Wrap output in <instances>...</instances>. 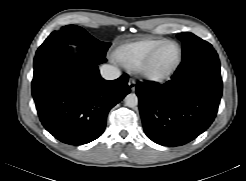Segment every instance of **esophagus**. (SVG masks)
I'll use <instances>...</instances> for the list:
<instances>
[{
	"label": "esophagus",
	"instance_id": "esophagus-1",
	"mask_svg": "<svg viewBox=\"0 0 246 181\" xmlns=\"http://www.w3.org/2000/svg\"><path fill=\"white\" fill-rule=\"evenodd\" d=\"M128 85H129L131 91L135 90V80L134 79L130 78L128 81Z\"/></svg>",
	"mask_w": 246,
	"mask_h": 181
}]
</instances>
